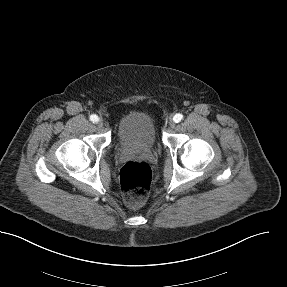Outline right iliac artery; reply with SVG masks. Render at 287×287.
<instances>
[{
	"label": "right iliac artery",
	"mask_w": 287,
	"mask_h": 287,
	"mask_svg": "<svg viewBox=\"0 0 287 287\" xmlns=\"http://www.w3.org/2000/svg\"><path fill=\"white\" fill-rule=\"evenodd\" d=\"M90 120H91L93 123H95V122H97V121L99 120V118H98L97 115L93 114V115L90 116Z\"/></svg>",
	"instance_id": "right-iliac-artery-1"
}]
</instances>
